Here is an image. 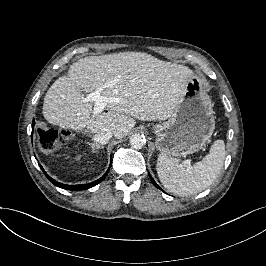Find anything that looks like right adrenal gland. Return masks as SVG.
<instances>
[{
  "mask_svg": "<svg viewBox=\"0 0 266 266\" xmlns=\"http://www.w3.org/2000/svg\"><path fill=\"white\" fill-rule=\"evenodd\" d=\"M88 145L91 146V148H92V152H93V153L98 152L97 149H103V148H104V146H100V145L97 144V143H89V142H88Z\"/></svg>",
  "mask_w": 266,
  "mask_h": 266,
  "instance_id": "right-adrenal-gland-1",
  "label": "right adrenal gland"
}]
</instances>
